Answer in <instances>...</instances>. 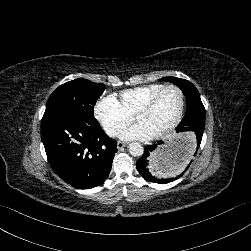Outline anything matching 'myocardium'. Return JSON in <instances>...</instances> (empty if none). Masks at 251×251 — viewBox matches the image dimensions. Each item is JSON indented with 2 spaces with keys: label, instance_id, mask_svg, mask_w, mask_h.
<instances>
[{
  "label": "myocardium",
  "instance_id": "obj_1",
  "mask_svg": "<svg viewBox=\"0 0 251 251\" xmlns=\"http://www.w3.org/2000/svg\"><path fill=\"white\" fill-rule=\"evenodd\" d=\"M169 90H175V91L180 93L181 99H182L181 108H180V112H179V115H178V118L176 119V121L174 123H172L170 126H168V127L164 128L163 130H161L159 133H157L158 137H165V136L173 133L182 124L184 116H185L186 106H187V98H186V94H185L184 90L182 88H180L179 86H176V85L165 86L161 90H159L157 93H155L150 99H148L144 104H142L136 110V112H138V111H141V110L152 109L155 106V104L157 103V101L159 100V98L165 92H167Z\"/></svg>",
  "mask_w": 251,
  "mask_h": 251
}]
</instances>
